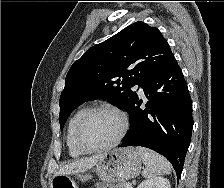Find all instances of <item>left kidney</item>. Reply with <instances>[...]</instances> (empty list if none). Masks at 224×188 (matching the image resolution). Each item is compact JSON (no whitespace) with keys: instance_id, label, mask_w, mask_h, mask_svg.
Wrapping results in <instances>:
<instances>
[{"instance_id":"obj_1","label":"left kidney","mask_w":224,"mask_h":188,"mask_svg":"<svg viewBox=\"0 0 224 188\" xmlns=\"http://www.w3.org/2000/svg\"><path fill=\"white\" fill-rule=\"evenodd\" d=\"M137 188H171V185L164 177H152L142 181Z\"/></svg>"}]
</instances>
